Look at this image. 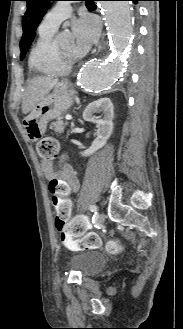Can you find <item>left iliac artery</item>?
<instances>
[{
	"label": "left iliac artery",
	"mask_w": 183,
	"mask_h": 329,
	"mask_svg": "<svg viewBox=\"0 0 183 329\" xmlns=\"http://www.w3.org/2000/svg\"><path fill=\"white\" fill-rule=\"evenodd\" d=\"M89 209H90L91 212H94V213H97V210H98L97 206H95V205H91L89 207Z\"/></svg>",
	"instance_id": "obj_1"
}]
</instances>
